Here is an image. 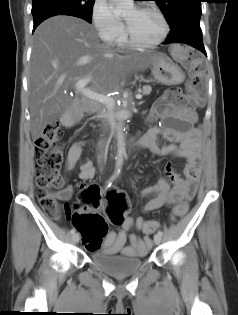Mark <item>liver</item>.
<instances>
[{"instance_id":"1","label":"liver","mask_w":238,"mask_h":315,"mask_svg":"<svg viewBox=\"0 0 238 315\" xmlns=\"http://www.w3.org/2000/svg\"><path fill=\"white\" fill-rule=\"evenodd\" d=\"M160 53L119 55L101 44L86 21L58 15L44 21L33 38L28 77L31 137L36 141L46 126L56 120L73 122L89 103L67 93L75 84L91 77L90 90L115 91L131 73L144 71Z\"/></svg>"}]
</instances>
